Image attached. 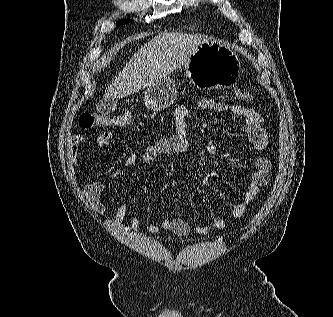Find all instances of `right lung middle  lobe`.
Listing matches in <instances>:
<instances>
[{"label":"right lung middle lobe","mask_w":333,"mask_h":317,"mask_svg":"<svg viewBox=\"0 0 333 317\" xmlns=\"http://www.w3.org/2000/svg\"><path fill=\"white\" fill-rule=\"evenodd\" d=\"M129 21H130L129 19H124V20L119 21L117 24L120 25V24L128 23Z\"/></svg>","instance_id":"obj_1"}]
</instances>
